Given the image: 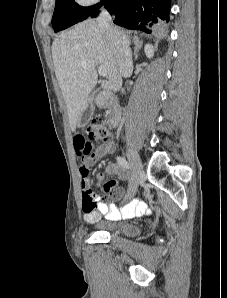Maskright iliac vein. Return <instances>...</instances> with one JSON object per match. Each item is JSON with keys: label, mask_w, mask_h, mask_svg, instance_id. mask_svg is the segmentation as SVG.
<instances>
[{"label": "right iliac vein", "mask_w": 227, "mask_h": 298, "mask_svg": "<svg viewBox=\"0 0 227 298\" xmlns=\"http://www.w3.org/2000/svg\"><path fill=\"white\" fill-rule=\"evenodd\" d=\"M127 156L132 165L130 194L134 195L137 190V186H138V182H139V178H140L143 166L139 155L134 150L129 148L127 150Z\"/></svg>", "instance_id": "obj_1"}]
</instances>
